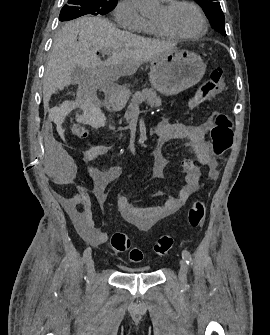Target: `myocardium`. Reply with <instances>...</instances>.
<instances>
[{"label":"myocardium","instance_id":"obj_1","mask_svg":"<svg viewBox=\"0 0 270 335\" xmlns=\"http://www.w3.org/2000/svg\"><path fill=\"white\" fill-rule=\"evenodd\" d=\"M189 5L191 6L196 13L198 14L200 21H201V28L199 31L195 32V33H191V34H181V33H176L173 32L169 29H167L166 27L160 25L159 23L152 21L154 26L160 31V33L166 37H170V38H175V39H179V40H193V39H197L199 37H201L202 35H204L207 31V21L206 18L204 16V14L202 13L201 9L192 1L190 0H183V1H175V2H170L169 4H167L165 7L167 9V11L171 12L174 9H176L179 5ZM193 78H200V77H193Z\"/></svg>","mask_w":270,"mask_h":335}]
</instances>
